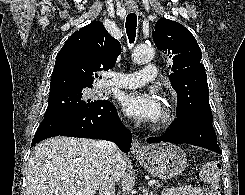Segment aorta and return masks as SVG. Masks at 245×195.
<instances>
[{
	"label": "aorta",
	"mask_w": 245,
	"mask_h": 195,
	"mask_svg": "<svg viewBox=\"0 0 245 195\" xmlns=\"http://www.w3.org/2000/svg\"><path fill=\"white\" fill-rule=\"evenodd\" d=\"M154 54L155 51L151 45H140L134 49L132 59L137 64H144L150 62Z\"/></svg>",
	"instance_id": "aorta-1"
}]
</instances>
